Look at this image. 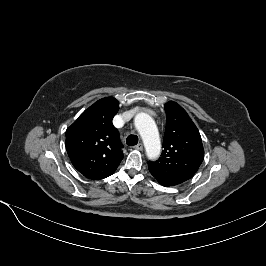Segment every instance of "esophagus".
Segmentation results:
<instances>
[{"instance_id": "34e87169", "label": "esophagus", "mask_w": 266, "mask_h": 266, "mask_svg": "<svg viewBox=\"0 0 266 266\" xmlns=\"http://www.w3.org/2000/svg\"><path fill=\"white\" fill-rule=\"evenodd\" d=\"M134 148L138 151H142L143 150V144L142 143H138L136 146H134Z\"/></svg>"}]
</instances>
